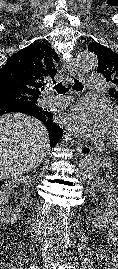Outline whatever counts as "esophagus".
Returning <instances> with one entry per match:
<instances>
[{
  "label": "esophagus",
  "mask_w": 118,
  "mask_h": 269,
  "mask_svg": "<svg viewBox=\"0 0 118 269\" xmlns=\"http://www.w3.org/2000/svg\"><path fill=\"white\" fill-rule=\"evenodd\" d=\"M64 69L66 71H68L70 75H72L73 71H74L78 75V77H81V74H80V72L78 71V69L76 68L75 65H74V68L71 69L70 66L67 63H65L64 64ZM77 151H78V154L80 156H87V155H90L93 152V149L89 145L79 144L77 146Z\"/></svg>",
  "instance_id": "obj_1"
}]
</instances>
